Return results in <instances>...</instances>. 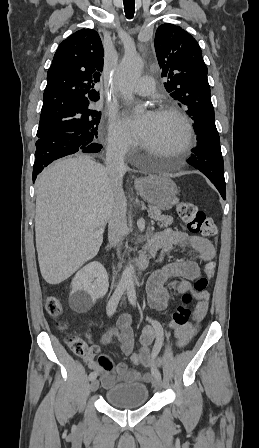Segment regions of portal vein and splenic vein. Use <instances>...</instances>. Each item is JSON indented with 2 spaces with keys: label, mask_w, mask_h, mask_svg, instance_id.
I'll return each instance as SVG.
<instances>
[{
  "label": "portal vein and splenic vein",
  "mask_w": 259,
  "mask_h": 448,
  "mask_svg": "<svg viewBox=\"0 0 259 448\" xmlns=\"http://www.w3.org/2000/svg\"><path fill=\"white\" fill-rule=\"evenodd\" d=\"M103 232V228H100V230H98V232H96V234H102Z\"/></svg>",
  "instance_id": "1"
}]
</instances>
